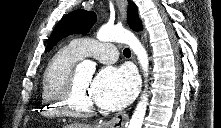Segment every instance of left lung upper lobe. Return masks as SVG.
Listing matches in <instances>:
<instances>
[{
    "label": "left lung upper lobe",
    "mask_w": 221,
    "mask_h": 128,
    "mask_svg": "<svg viewBox=\"0 0 221 128\" xmlns=\"http://www.w3.org/2000/svg\"><path fill=\"white\" fill-rule=\"evenodd\" d=\"M128 8V22L132 29L140 30V21L137 18L136 6L129 1ZM96 21V15L94 12H88L85 10H76L66 15L55 27L51 34L47 51H49L60 39L75 33L86 34Z\"/></svg>",
    "instance_id": "obj_1"
}]
</instances>
